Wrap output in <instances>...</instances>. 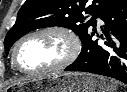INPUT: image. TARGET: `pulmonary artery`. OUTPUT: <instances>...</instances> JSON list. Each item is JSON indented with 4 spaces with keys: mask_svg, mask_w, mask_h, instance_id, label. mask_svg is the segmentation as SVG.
Wrapping results in <instances>:
<instances>
[{
    "mask_svg": "<svg viewBox=\"0 0 127 92\" xmlns=\"http://www.w3.org/2000/svg\"><path fill=\"white\" fill-rule=\"evenodd\" d=\"M96 20L98 24H102V20L100 18H97Z\"/></svg>",
    "mask_w": 127,
    "mask_h": 92,
    "instance_id": "obj_1",
    "label": "pulmonary artery"
}]
</instances>
